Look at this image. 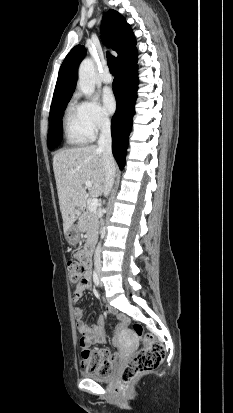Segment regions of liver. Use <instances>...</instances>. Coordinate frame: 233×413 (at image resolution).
Segmentation results:
<instances>
[{
  "instance_id": "liver-1",
  "label": "liver",
  "mask_w": 233,
  "mask_h": 413,
  "mask_svg": "<svg viewBox=\"0 0 233 413\" xmlns=\"http://www.w3.org/2000/svg\"><path fill=\"white\" fill-rule=\"evenodd\" d=\"M64 234L81 214L88 195L101 196L105 186L103 152L96 145L64 149L53 157ZM85 181L92 187L86 192Z\"/></svg>"
}]
</instances>
